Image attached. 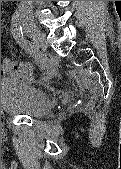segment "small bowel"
Returning a JSON list of instances; mask_svg holds the SVG:
<instances>
[{"label":"small bowel","instance_id":"c3829d8e","mask_svg":"<svg viewBox=\"0 0 121 169\" xmlns=\"http://www.w3.org/2000/svg\"><path fill=\"white\" fill-rule=\"evenodd\" d=\"M50 72L53 73V68L51 66ZM1 74L11 75L29 81L32 79V68L28 63L5 58L1 65Z\"/></svg>","mask_w":121,"mask_h":169}]
</instances>
